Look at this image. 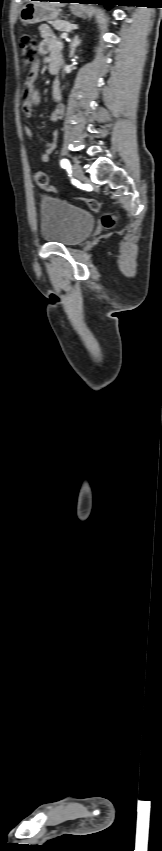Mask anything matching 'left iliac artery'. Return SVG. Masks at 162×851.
I'll return each instance as SVG.
<instances>
[{
    "mask_svg": "<svg viewBox=\"0 0 162 851\" xmlns=\"http://www.w3.org/2000/svg\"><path fill=\"white\" fill-rule=\"evenodd\" d=\"M61 166L63 168L70 167V162L67 159H63V160H61Z\"/></svg>",
    "mask_w": 162,
    "mask_h": 851,
    "instance_id": "left-iliac-artery-1",
    "label": "left iliac artery"
}]
</instances>
